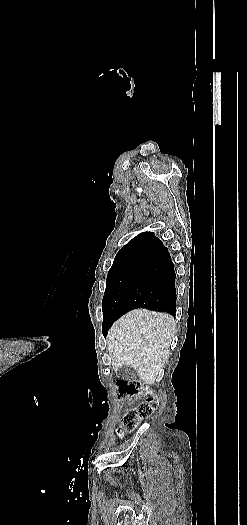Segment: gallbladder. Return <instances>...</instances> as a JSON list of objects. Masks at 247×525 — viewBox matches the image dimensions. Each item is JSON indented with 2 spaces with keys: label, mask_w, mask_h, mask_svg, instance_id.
Masks as SVG:
<instances>
[{
  "label": "gallbladder",
  "mask_w": 247,
  "mask_h": 525,
  "mask_svg": "<svg viewBox=\"0 0 247 525\" xmlns=\"http://www.w3.org/2000/svg\"><path fill=\"white\" fill-rule=\"evenodd\" d=\"M116 377L119 380L127 379L129 381H132L136 379L135 369L131 365H123L119 368Z\"/></svg>",
  "instance_id": "1"
}]
</instances>
